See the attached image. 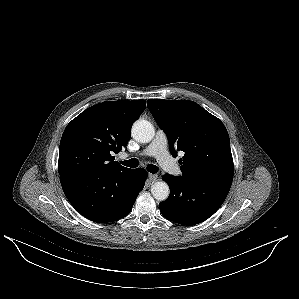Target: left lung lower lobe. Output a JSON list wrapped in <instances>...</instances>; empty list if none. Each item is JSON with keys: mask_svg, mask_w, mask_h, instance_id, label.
<instances>
[{"mask_svg": "<svg viewBox=\"0 0 299 299\" xmlns=\"http://www.w3.org/2000/svg\"><path fill=\"white\" fill-rule=\"evenodd\" d=\"M169 198L159 204L162 215L173 222L195 225L212 216L224 202L232 182L210 178H183L165 174Z\"/></svg>", "mask_w": 299, "mask_h": 299, "instance_id": "1", "label": "left lung lower lobe"}]
</instances>
